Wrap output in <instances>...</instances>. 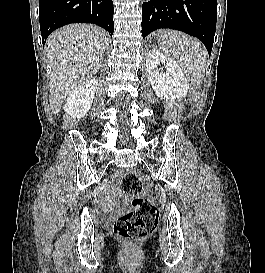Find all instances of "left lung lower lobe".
Here are the masks:
<instances>
[{
	"label": "left lung lower lobe",
	"mask_w": 265,
	"mask_h": 273,
	"mask_svg": "<svg viewBox=\"0 0 265 273\" xmlns=\"http://www.w3.org/2000/svg\"><path fill=\"white\" fill-rule=\"evenodd\" d=\"M217 0H150L142 6V36L169 28L199 38L209 54L214 42Z\"/></svg>",
	"instance_id": "obj_1"
}]
</instances>
